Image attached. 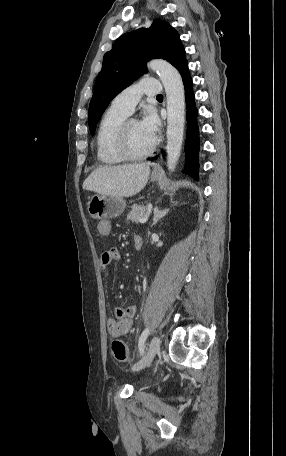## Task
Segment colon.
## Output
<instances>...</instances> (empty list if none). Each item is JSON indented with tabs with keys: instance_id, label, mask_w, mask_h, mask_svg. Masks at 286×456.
<instances>
[{
	"instance_id": "obj_1",
	"label": "colon",
	"mask_w": 286,
	"mask_h": 456,
	"mask_svg": "<svg viewBox=\"0 0 286 456\" xmlns=\"http://www.w3.org/2000/svg\"><path fill=\"white\" fill-rule=\"evenodd\" d=\"M113 355L119 362H127L129 352L126 344L122 340H114L111 345Z\"/></svg>"
}]
</instances>
